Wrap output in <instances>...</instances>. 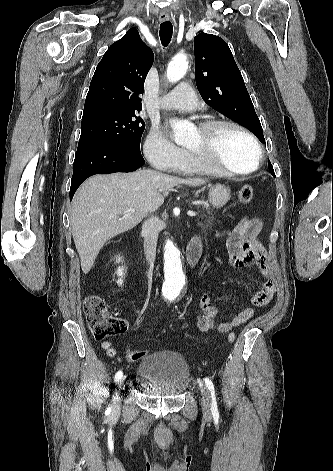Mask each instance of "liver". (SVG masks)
Instances as JSON below:
<instances>
[{"mask_svg": "<svg viewBox=\"0 0 333 471\" xmlns=\"http://www.w3.org/2000/svg\"><path fill=\"white\" fill-rule=\"evenodd\" d=\"M204 183V179H183L151 169L87 179L74 196L70 215L83 273L91 270L108 240L134 228L149 212L157 210L173 187ZM131 208L134 213L125 216Z\"/></svg>", "mask_w": 333, "mask_h": 471, "instance_id": "1", "label": "liver"}]
</instances>
